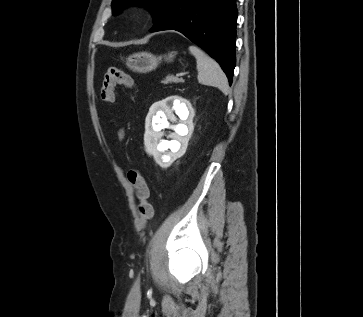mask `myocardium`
<instances>
[{"label": "myocardium", "instance_id": "myocardium-1", "mask_svg": "<svg viewBox=\"0 0 363 317\" xmlns=\"http://www.w3.org/2000/svg\"><path fill=\"white\" fill-rule=\"evenodd\" d=\"M141 15V9L140 8H136L133 10L132 12V17L133 18H139Z\"/></svg>", "mask_w": 363, "mask_h": 317}]
</instances>
